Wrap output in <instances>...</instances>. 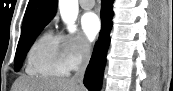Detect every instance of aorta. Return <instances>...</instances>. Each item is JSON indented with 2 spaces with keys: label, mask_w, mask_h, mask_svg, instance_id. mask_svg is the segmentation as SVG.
<instances>
[{
  "label": "aorta",
  "mask_w": 173,
  "mask_h": 91,
  "mask_svg": "<svg viewBox=\"0 0 173 91\" xmlns=\"http://www.w3.org/2000/svg\"><path fill=\"white\" fill-rule=\"evenodd\" d=\"M59 10L63 21L68 24L69 31L74 32V22L79 10L78 0H59Z\"/></svg>",
  "instance_id": "762f6f07"
}]
</instances>
